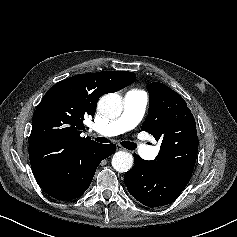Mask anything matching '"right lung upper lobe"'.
<instances>
[{"instance_id": "obj_1", "label": "right lung upper lobe", "mask_w": 237, "mask_h": 237, "mask_svg": "<svg viewBox=\"0 0 237 237\" xmlns=\"http://www.w3.org/2000/svg\"><path fill=\"white\" fill-rule=\"evenodd\" d=\"M136 79L129 71L79 74L53 85L32 119L30 164L35 177L60 170L78 151L96 142L80 137L85 117H94L99 98Z\"/></svg>"}]
</instances>
